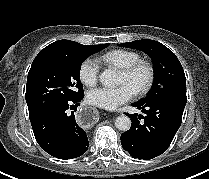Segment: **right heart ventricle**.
<instances>
[{"label": "right heart ventricle", "mask_w": 209, "mask_h": 179, "mask_svg": "<svg viewBox=\"0 0 209 179\" xmlns=\"http://www.w3.org/2000/svg\"><path fill=\"white\" fill-rule=\"evenodd\" d=\"M139 59V53L127 49L110 50L98 57L101 63L118 69H123Z\"/></svg>", "instance_id": "e07e8e85"}]
</instances>
